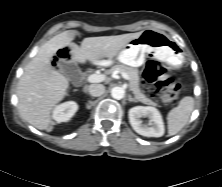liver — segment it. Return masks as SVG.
I'll return each mask as SVG.
<instances>
[{
    "instance_id": "1",
    "label": "liver",
    "mask_w": 222,
    "mask_h": 187,
    "mask_svg": "<svg viewBox=\"0 0 222 187\" xmlns=\"http://www.w3.org/2000/svg\"><path fill=\"white\" fill-rule=\"evenodd\" d=\"M142 34L84 38L81 46L72 43L78 32L64 31L42 45L36 56L25 67L17 88L18 109L21 117L40 130L51 123V111L68 94L69 80L56 71L50 60L54 54L69 46L72 59L84 64L107 62L132 39Z\"/></svg>"
}]
</instances>
